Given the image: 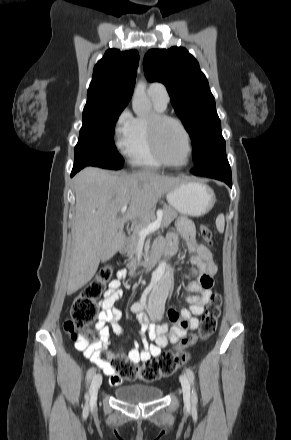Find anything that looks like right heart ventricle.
Wrapping results in <instances>:
<instances>
[{
    "label": "right heart ventricle",
    "instance_id": "1",
    "mask_svg": "<svg viewBox=\"0 0 291 440\" xmlns=\"http://www.w3.org/2000/svg\"><path fill=\"white\" fill-rule=\"evenodd\" d=\"M154 112L163 113L166 106L160 105L151 97ZM145 117L138 116L133 121V131L129 143L124 150L129 164L133 167L160 168L163 165L154 156L147 132Z\"/></svg>",
    "mask_w": 291,
    "mask_h": 440
}]
</instances>
